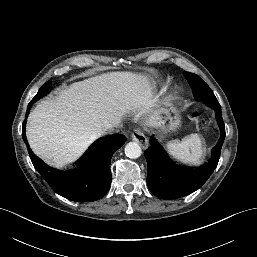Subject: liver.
Returning a JSON list of instances; mask_svg holds the SVG:
<instances>
[{
	"label": "liver",
	"mask_w": 257,
	"mask_h": 257,
	"mask_svg": "<svg viewBox=\"0 0 257 257\" xmlns=\"http://www.w3.org/2000/svg\"><path fill=\"white\" fill-rule=\"evenodd\" d=\"M159 96L144 74L111 72L71 84L30 113L27 139L36 155L65 166L75 162L108 127L131 111L148 113ZM159 111L145 121L157 126Z\"/></svg>",
	"instance_id": "obj_1"
}]
</instances>
